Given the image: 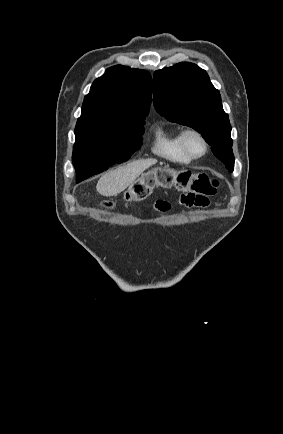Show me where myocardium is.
<instances>
[{
	"mask_svg": "<svg viewBox=\"0 0 283 434\" xmlns=\"http://www.w3.org/2000/svg\"><path fill=\"white\" fill-rule=\"evenodd\" d=\"M190 136L197 137L201 144H202V150L199 153H194L190 150L187 140ZM180 145L183 150V152L191 159H199L202 158L208 151V141L204 134L195 128H187L181 131L180 133Z\"/></svg>",
	"mask_w": 283,
	"mask_h": 434,
	"instance_id": "obj_1",
	"label": "myocardium"
}]
</instances>
